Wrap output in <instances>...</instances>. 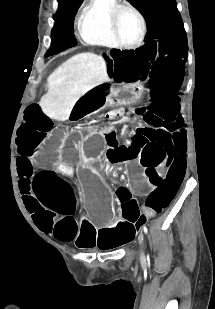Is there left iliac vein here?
<instances>
[{
	"instance_id": "1",
	"label": "left iliac vein",
	"mask_w": 215,
	"mask_h": 309,
	"mask_svg": "<svg viewBox=\"0 0 215 309\" xmlns=\"http://www.w3.org/2000/svg\"><path fill=\"white\" fill-rule=\"evenodd\" d=\"M138 243L140 245L139 254L143 255L142 254V245H143V232H142V230L140 231V234L138 236Z\"/></svg>"
}]
</instances>
